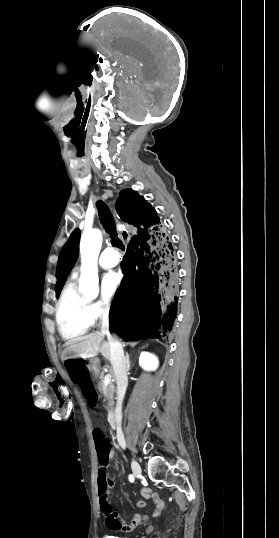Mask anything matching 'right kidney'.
<instances>
[{"instance_id": "right-kidney-1", "label": "right kidney", "mask_w": 279, "mask_h": 538, "mask_svg": "<svg viewBox=\"0 0 279 538\" xmlns=\"http://www.w3.org/2000/svg\"><path fill=\"white\" fill-rule=\"evenodd\" d=\"M139 366L147 372H154L158 368V360L154 354H149V352H141L139 358Z\"/></svg>"}]
</instances>
